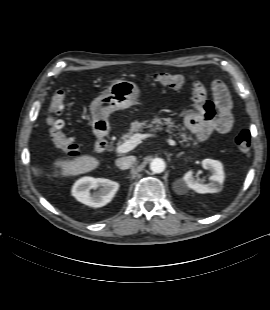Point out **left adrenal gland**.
<instances>
[{"mask_svg": "<svg viewBox=\"0 0 270 310\" xmlns=\"http://www.w3.org/2000/svg\"><path fill=\"white\" fill-rule=\"evenodd\" d=\"M184 154V152H181V153H179L178 155H177V157H180L181 155H183Z\"/></svg>", "mask_w": 270, "mask_h": 310, "instance_id": "obj_1", "label": "left adrenal gland"}]
</instances>
